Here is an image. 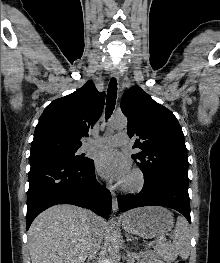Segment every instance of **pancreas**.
Listing matches in <instances>:
<instances>
[{"mask_svg": "<svg viewBox=\"0 0 220 263\" xmlns=\"http://www.w3.org/2000/svg\"><path fill=\"white\" fill-rule=\"evenodd\" d=\"M155 249L157 252L166 260H174V255L170 250V245L168 243H159ZM172 253V254H171Z\"/></svg>", "mask_w": 220, "mask_h": 263, "instance_id": "1", "label": "pancreas"}]
</instances>
